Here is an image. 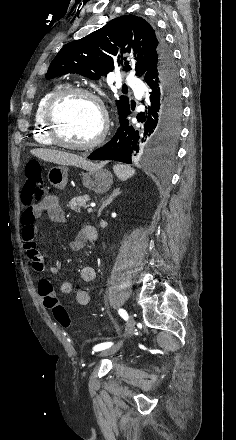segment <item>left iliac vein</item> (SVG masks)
<instances>
[{
  "mask_svg": "<svg viewBox=\"0 0 236 440\" xmlns=\"http://www.w3.org/2000/svg\"><path fill=\"white\" fill-rule=\"evenodd\" d=\"M134 325H135L134 318H133V316L130 314V315L128 316L127 335H130V334L133 332ZM121 345H122V344H118V345H116V346H114V347H112V348H110V349H107V350H105V351H102L99 355H100V356H105V355H107V354L114 353V352H116L117 350L120 349Z\"/></svg>",
  "mask_w": 236,
  "mask_h": 440,
  "instance_id": "obj_1",
  "label": "left iliac vein"
}]
</instances>
